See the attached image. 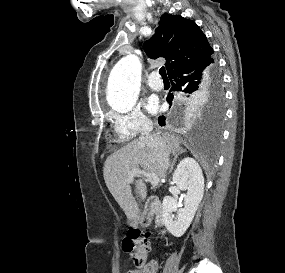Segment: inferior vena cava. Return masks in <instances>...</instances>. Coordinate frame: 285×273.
I'll list each match as a JSON object with an SVG mask.
<instances>
[{
  "label": "inferior vena cava",
  "mask_w": 285,
  "mask_h": 273,
  "mask_svg": "<svg viewBox=\"0 0 285 273\" xmlns=\"http://www.w3.org/2000/svg\"><path fill=\"white\" fill-rule=\"evenodd\" d=\"M152 131V122L150 120H145L142 124L141 136L139 137V140L148 142L155 147L159 163L162 169L166 171L170 166L169 154L166 151L165 146L163 145L160 134H153Z\"/></svg>",
  "instance_id": "inferior-vena-cava-1"
}]
</instances>
